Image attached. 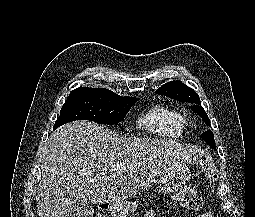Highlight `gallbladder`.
Returning a JSON list of instances; mask_svg holds the SVG:
<instances>
[{"mask_svg": "<svg viewBox=\"0 0 255 217\" xmlns=\"http://www.w3.org/2000/svg\"><path fill=\"white\" fill-rule=\"evenodd\" d=\"M94 208L92 203H84L79 201L73 209H71L68 217H93Z\"/></svg>", "mask_w": 255, "mask_h": 217, "instance_id": "obj_1", "label": "gallbladder"}]
</instances>
